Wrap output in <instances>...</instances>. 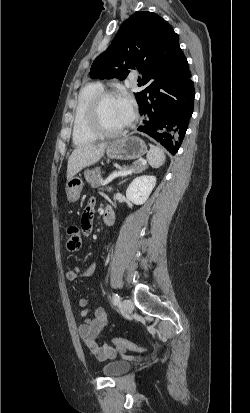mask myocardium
<instances>
[{
  "label": "myocardium",
  "mask_w": 250,
  "mask_h": 413,
  "mask_svg": "<svg viewBox=\"0 0 250 413\" xmlns=\"http://www.w3.org/2000/svg\"><path fill=\"white\" fill-rule=\"evenodd\" d=\"M117 97L112 90H101L95 94L89 102L87 108V125L98 138H112L123 134L130 126L128 123L123 128L108 130L104 127L101 119V105L108 98Z\"/></svg>",
  "instance_id": "1"
}]
</instances>
